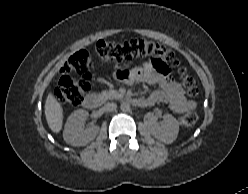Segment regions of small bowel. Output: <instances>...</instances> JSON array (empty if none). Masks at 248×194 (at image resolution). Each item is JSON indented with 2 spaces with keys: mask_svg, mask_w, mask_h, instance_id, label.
<instances>
[{
  "mask_svg": "<svg viewBox=\"0 0 248 194\" xmlns=\"http://www.w3.org/2000/svg\"><path fill=\"white\" fill-rule=\"evenodd\" d=\"M127 78L124 82L133 84L136 82L147 83L157 87L147 99L149 106L155 104H169L171 109L178 113H186L195 108V102L185 96L182 86L170 78L165 64L147 62L130 71L125 70Z\"/></svg>",
  "mask_w": 248,
  "mask_h": 194,
  "instance_id": "small-bowel-1",
  "label": "small bowel"
}]
</instances>
